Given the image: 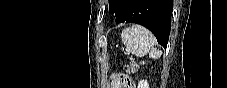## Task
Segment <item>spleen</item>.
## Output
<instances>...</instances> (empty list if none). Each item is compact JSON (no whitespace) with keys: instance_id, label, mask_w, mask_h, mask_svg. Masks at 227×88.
Here are the masks:
<instances>
[{"instance_id":"obj_1","label":"spleen","mask_w":227,"mask_h":88,"mask_svg":"<svg viewBox=\"0 0 227 88\" xmlns=\"http://www.w3.org/2000/svg\"><path fill=\"white\" fill-rule=\"evenodd\" d=\"M121 38L126 49L137 57L149 54L152 59H158L162 51L155 48V37L146 28L132 25L122 30Z\"/></svg>"}]
</instances>
